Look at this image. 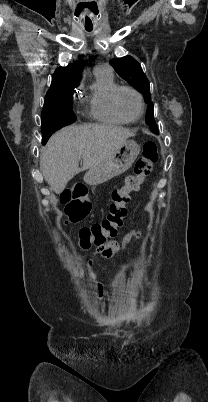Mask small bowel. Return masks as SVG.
Returning <instances> with one entry per match:
<instances>
[{
  "label": "small bowel",
  "mask_w": 208,
  "mask_h": 402,
  "mask_svg": "<svg viewBox=\"0 0 208 402\" xmlns=\"http://www.w3.org/2000/svg\"><path fill=\"white\" fill-rule=\"evenodd\" d=\"M140 238V232L138 231H131L130 233L126 234L124 238L122 239L121 242H111L105 245L104 247H96L94 249V252L96 254H101L104 258L107 259H112L113 254H116L118 250H125L126 245L132 240V239H139ZM102 245V244H101ZM86 263L88 265H91L93 263V260L91 258H88L86 260ZM107 289L105 288L104 284L97 281L96 282V295L100 298H104L107 295Z\"/></svg>",
  "instance_id": "c3829d8e"
}]
</instances>
